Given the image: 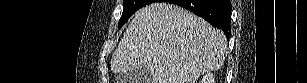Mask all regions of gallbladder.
I'll list each match as a JSON object with an SVG mask.
<instances>
[{
    "label": "gallbladder",
    "instance_id": "obj_1",
    "mask_svg": "<svg viewBox=\"0 0 307 83\" xmlns=\"http://www.w3.org/2000/svg\"><path fill=\"white\" fill-rule=\"evenodd\" d=\"M118 82L120 83H150L151 82V74L147 70H133L129 73L122 74L120 78H118Z\"/></svg>",
    "mask_w": 307,
    "mask_h": 83
}]
</instances>
